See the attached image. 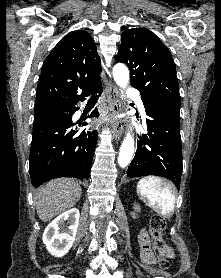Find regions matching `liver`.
Segmentation results:
<instances>
[{
	"label": "liver",
	"mask_w": 221,
	"mask_h": 278,
	"mask_svg": "<svg viewBox=\"0 0 221 278\" xmlns=\"http://www.w3.org/2000/svg\"><path fill=\"white\" fill-rule=\"evenodd\" d=\"M81 197V187L72 179L60 178L38 189L35 194L37 215L43 222L72 208Z\"/></svg>",
	"instance_id": "obj_1"
}]
</instances>
